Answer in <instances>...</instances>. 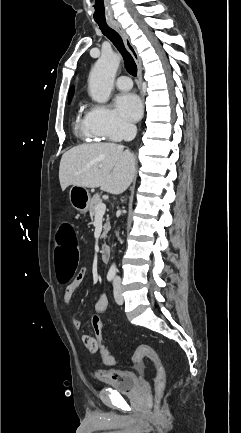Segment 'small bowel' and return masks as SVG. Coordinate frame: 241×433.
Returning <instances> with one entry per match:
<instances>
[{
  "mask_svg": "<svg viewBox=\"0 0 241 433\" xmlns=\"http://www.w3.org/2000/svg\"><path fill=\"white\" fill-rule=\"evenodd\" d=\"M86 273H87V267L83 266L79 270V272L76 274V276L73 278V280L66 286L64 293H63V301L65 304L68 305L71 302V299L74 295V292L77 290V288L80 286V284L84 280ZM107 307H108V300H107L106 295L103 292H99L96 303H95V311L99 312V313H104L107 310ZM72 324H73L74 328H76V329H80L82 326L81 320L78 318H73ZM82 340L84 342V345L86 346V348L89 351H91V352H97L98 351L97 349L91 350L87 345V342H90V341L95 342L96 337H94L90 334H83ZM112 372H116V371H112Z\"/></svg>",
  "mask_w": 241,
  "mask_h": 433,
  "instance_id": "obj_1",
  "label": "small bowel"
}]
</instances>
